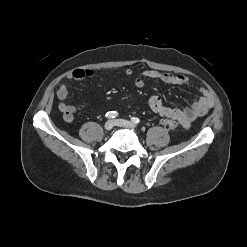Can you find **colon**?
Wrapping results in <instances>:
<instances>
[{"instance_id":"obj_1","label":"colon","mask_w":247,"mask_h":247,"mask_svg":"<svg viewBox=\"0 0 247 247\" xmlns=\"http://www.w3.org/2000/svg\"><path fill=\"white\" fill-rule=\"evenodd\" d=\"M161 125L166 129H175L178 127V122L172 119H163Z\"/></svg>"}]
</instances>
